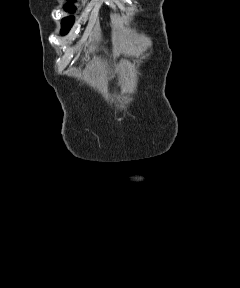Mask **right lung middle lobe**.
<instances>
[{
  "label": "right lung middle lobe",
  "mask_w": 240,
  "mask_h": 288,
  "mask_svg": "<svg viewBox=\"0 0 240 288\" xmlns=\"http://www.w3.org/2000/svg\"><path fill=\"white\" fill-rule=\"evenodd\" d=\"M65 9L69 12H73L75 11V7L71 4H67L65 6ZM73 22H74V17H66L62 20V30H61V33L62 34H67L68 31L70 30V28L72 27L73 25Z\"/></svg>",
  "instance_id": "dd1d6c3e"
}]
</instances>
